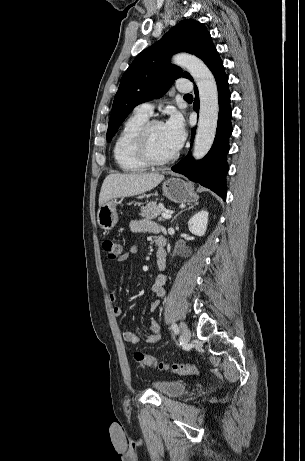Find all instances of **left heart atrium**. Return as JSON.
Wrapping results in <instances>:
<instances>
[{"label": "left heart atrium", "instance_id": "left-heart-atrium-1", "mask_svg": "<svg viewBox=\"0 0 305 461\" xmlns=\"http://www.w3.org/2000/svg\"><path fill=\"white\" fill-rule=\"evenodd\" d=\"M163 125L168 142L175 151L179 150L186 138L183 118L180 114L174 113Z\"/></svg>", "mask_w": 305, "mask_h": 461}]
</instances>
